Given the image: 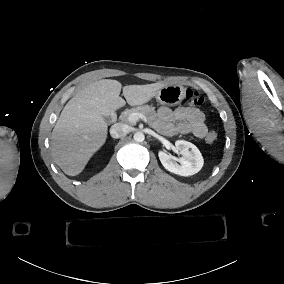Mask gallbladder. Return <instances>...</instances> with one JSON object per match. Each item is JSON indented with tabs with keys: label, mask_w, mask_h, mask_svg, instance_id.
Instances as JSON below:
<instances>
[{
	"label": "gallbladder",
	"mask_w": 284,
	"mask_h": 284,
	"mask_svg": "<svg viewBox=\"0 0 284 284\" xmlns=\"http://www.w3.org/2000/svg\"><path fill=\"white\" fill-rule=\"evenodd\" d=\"M105 122H109L110 121V117L109 116H103Z\"/></svg>",
	"instance_id": "gallbladder-1"
}]
</instances>
